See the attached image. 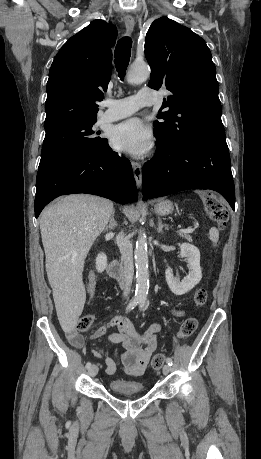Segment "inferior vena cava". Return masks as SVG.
I'll use <instances>...</instances> for the list:
<instances>
[{
  "instance_id": "inferior-vena-cava-1",
  "label": "inferior vena cava",
  "mask_w": 261,
  "mask_h": 459,
  "mask_svg": "<svg viewBox=\"0 0 261 459\" xmlns=\"http://www.w3.org/2000/svg\"><path fill=\"white\" fill-rule=\"evenodd\" d=\"M116 240L123 263V296L128 297L134 275L132 243L123 232L117 235Z\"/></svg>"
}]
</instances>
